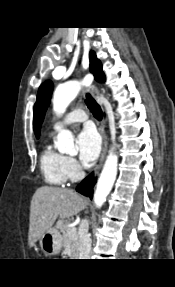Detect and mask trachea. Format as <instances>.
<instances>
[{
	"label": "trachea",
	"mask_w": 175,
	"mask_h": 287,
	"mask_svg": "<svg viewBox=\"0 0 175 287\" xmlns=\"http://www.w3.org/2000/svg\"><path fill=\"white\" fill-rule=\"evenodd\" d=\"M85 102L87 104V107L89 108V110L93 114V116L97 120H101L102 119L101 107L98 105V103L94 100V98L89 93L86 94Z\"/></svg>",
	"instance_id": "trachea-1"
}]
</instances>
